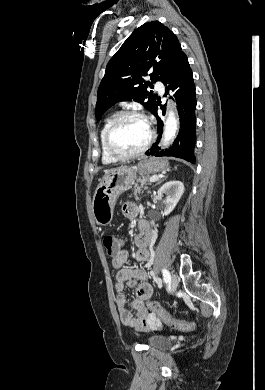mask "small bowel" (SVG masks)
<instances>
[{
  "mask_svg": "<svg viewBox=\"0 0 265 390\" xmlns=\"http://www.w3.org/2000/svg\"><path fill=\"white\" fill-rule=\"evenodd\" d=\"M123 214L129 219H134L139 215V208L134 203H126L123 206ZM140 233L135 238L137 251L135 259L139 263H149L151 250L149 242L151 231L145 221L139 223ZM117 239V252L112 259V266L116 270L115 290L118 292L116 297V308L121 322L130 328L142 330L159 329L161 324L153 316L147 307L146 301L153 294V287L148 282L147 273L139 268L126 267L128 252L123 248L125 241L122 238ZM126 287L136 289V297L132 302L134 312L127 308L126 298L123 291Z\"/></svg>",
  "mask_w": 265,
  "mask_h": 390,
  "instance_id": "1",
  "label": "small bowel"
}]
</instances>
